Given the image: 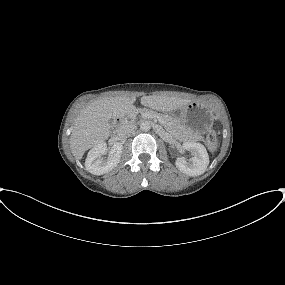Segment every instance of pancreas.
<instances>
[{"instance_id": "pancreas-1", "label": "pancreas", "mask_w": 285, "mask_h": 285, "mask_svg": "<svg viewBox=\"0 0 285 285\" xmlns=\"http://www.w3.org/2000/svg\"><path fill=\"white\" fill-rule=\"evenodd\" d=\"M134 113L135 114L140 113L142 116L151 115L153 117H157L158 119L162 120L165 123V129L173 135H182L184 132L183 126L178 121V119L174 117L158 114L150 110H137ZM195 137L198 139L200 135H195Z\"/></svg>"}]
</instances>
